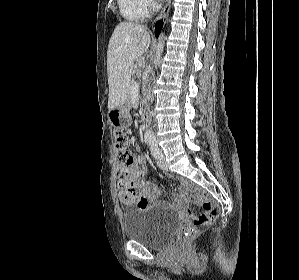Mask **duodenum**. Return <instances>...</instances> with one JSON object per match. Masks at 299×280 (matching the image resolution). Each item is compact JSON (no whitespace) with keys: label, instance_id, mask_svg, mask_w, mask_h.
<instances>
[{"label":"duodenum","instance_id":"duodenum-1","mask_svg":"<svg viewBox=\"0 0 299 280\" xmlns=\"http://www.w3.org/2000/svg\"><path fill=\"white\" fill-rule=\"evenodd\" d=\"M150 122V115L147 109L146 105H143L142 107V124H143V129L146 130Z\"/></svg>","mask_w":299,"mask_h":280}]
</instances>
